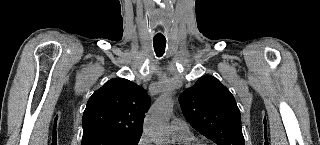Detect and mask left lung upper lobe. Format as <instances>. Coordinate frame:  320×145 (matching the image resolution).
I'll use <instances>...</instances> for the list:
<instances>
[{
	"label": "left lung upper lobe",
	"mask_w": 320,
	"mask_h": 145,
	"mask_svg": "<svg viewBox=\"0 0 320 145\" xmlns=\"http://www.w3.org/2000/svg\"><path fill=\"white\" fill-rule=\"evenodd\" d=\"M185 118L217 145H245L235 99L219 80L205 75L179 97Z\"/></svg>",
	"instance_id": "left-lung-upper-lobe-1"
}]
</instances>
